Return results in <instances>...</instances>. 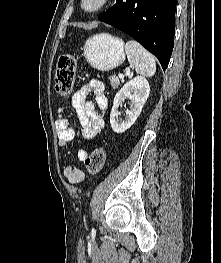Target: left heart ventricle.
<instances>
[{
	"instance_id": "obj_1",
	"label": "left heart ventricle",
	"mask_w": 221,
	"mask_h": 263,
	"mask_svg": "<svg viewBox=\"0 0 221 263\" xmlns=\"http://www.w3.org/2000/svg\"><path fill=\"white\" fill-rule=\"evenodd\" d=\"M97 3V0H88L87 6L88 7H93Z\"/></svg>"
}]
</instances>
